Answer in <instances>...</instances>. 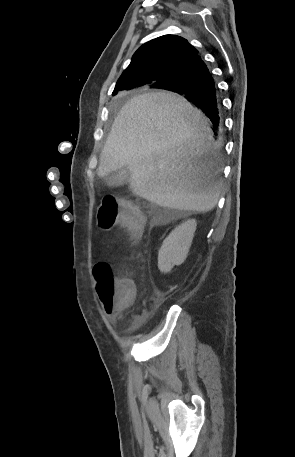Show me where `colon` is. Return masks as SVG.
<instances>
[{"label":"colon","instance_id":"obj_1","mask_svg":"<svg viewBox=\"0 0 295 457\" xmlns=\"http://www.w3.org/2000/svg\"><path fill=\"white\" fill-rule=\"evenodd\" d=\"M97 226L101 230H110L117 225L130 229L139 235L144 226L141 211L133 204L121 202L114 196L107 195L98 207ZM97 282L99 299L108 314H120L135 300L137 287L129 278L116 277L107 263H97L93 269Z\"/></svg>","mask_w":295,"mask_h":457}]
</instances>
